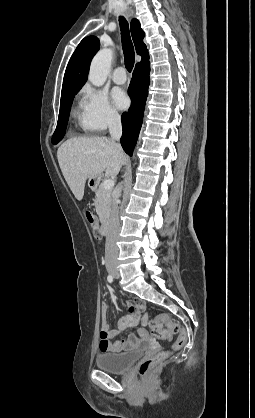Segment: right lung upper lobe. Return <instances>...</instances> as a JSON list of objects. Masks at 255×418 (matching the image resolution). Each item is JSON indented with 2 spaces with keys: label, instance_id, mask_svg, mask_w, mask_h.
<instances>
[{
  "label": "right lung upper lobe",
  "instance_id": "1",
  "mask_svg": "<svg viewBox=\"0 0 255 418\" xmlns=\"http://www.w3.org/2000/svg\"><path fill=\"white\" fill-rule=\"evenodd\" d=\"M130 26L136 52L142 57L141 62L137 63L136 66L148 63L149 55L146 45L143 42L144 32L141 29L140 23L134 18ZM99 46L100 42L95 36H88L80 42L67 65L63 79L62 93L80 90L84 85L89 72L91 59L99 50Z\"/></svg>",
  "mask_w": 255,
  "mask_h": 418
}]
</instances>
